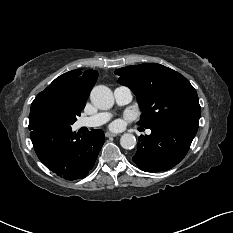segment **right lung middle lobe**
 <instances>
[{
    "mask_svg": "<svg viewBox=\"0 0 233 233\" xmlns=\"http://www.w3.org/2000/svg\"><path fill=\"white\" fill-rule=\"evenodd\" d=\"M81 110L83 107L56 94H38L31 105L29 129L40 126L69 129Z\"/></svg>",
    "mask_w": 233,
    "mask_h": 233,
    "instance_id": "right-lung-middle-lobe-1",
    "label": "right lung middle lobe"
}]
</instances>
